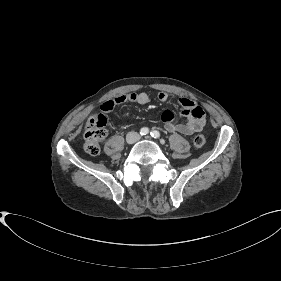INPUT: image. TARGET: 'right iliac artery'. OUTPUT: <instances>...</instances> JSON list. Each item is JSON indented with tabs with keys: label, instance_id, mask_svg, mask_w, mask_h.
<instances>
[{
	"label": "right iliac artery",
	"instance_id": "1",
	"mask_svg": "<svg viewBox=\"0 0 281 281\" xmlns=\"http://www.w3.org/2000/svg\"><path fill=\"white\" fill-rule=\"evenodd\" d=\"M148 133H149V129H148V128H146V127L141 128L140 134H141L142 136H145V135H147Z\"/></svg>",
	"mask_w": 281,
	"mask_h": 281
}]
</instances>
